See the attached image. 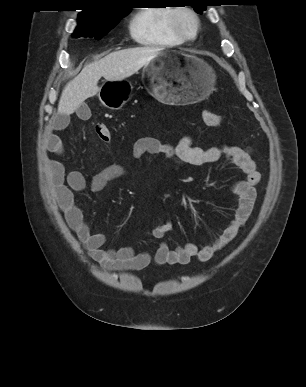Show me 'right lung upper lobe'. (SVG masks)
<instances>
[{
  "instance_id": "cb5924a9",
  "label": "right lung upper lobe",
  "mask_w": 306,
  "mask_h": 387,
  "mask_svg": "<svg viewBox=\"0 0 306 387\" xmlns=\"http://www.w3.org/2000/svg\"><path fill=\"white\" fill-rule=\"evenodd\" d=\"M122 0H88L89 8L79 14V19L100 20L117 15L124 10Z\"/></svg>"
}]
</instances>
